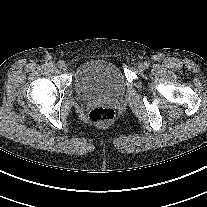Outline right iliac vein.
I'll return each mask as SVG.
<instances>
[{
	"instance_id": "right-iliac-vein-1",
	"label": "right iliac vein",
	"mask_w": 207,
	"mask_h": 207,
	"mask_svg": "<svg viewBox=\"0 0 207 207\" xmlns=\"http://www.w3.org/2000/svg\"><path fill=\"white\" fill-rule=\"evenodd\" d=\"M63 71H66L68 69V65L66 63H63L60 67Z\"/></svg>"
}]
</instances>
